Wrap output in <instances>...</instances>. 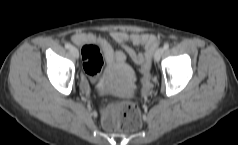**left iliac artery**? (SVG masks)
Returning <instances> with one entry per match:
<instances>
[{
  "mask_svg": "<svg viewBox=\"0 0 238 145\" xmlns=\"http://www.w3.org/2000/svg\"><path fill=\"white\" fill-rule=\"evenodd\" d=\"M164 50H167L169 48V44L168 43H165L164 46H163Z\"/></svg>",
  "mask_w": 238,
  "mask_h": 145,
  "instance_id": "44dca946",
  "label": "left iliac artery"
}]
</instances>
